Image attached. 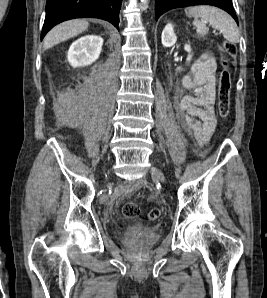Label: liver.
I'll return each mask as SVG.
<instances>
[{"instance_id":"1","label":"liver","mask_w":267,"mask_h":298,"mask_svg":"<svg viewBox=\"0 0 267 298\" xmlns=\"http://www.w3.org/2000/svg\"><path fill=\"white\" fill-rule=\"evenodd\" d=\"M89 23L86 20L75 19L63 22L50 30L44 39V49L66 41L88 29Z\"/></svg>"}]
</instances>
